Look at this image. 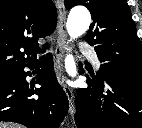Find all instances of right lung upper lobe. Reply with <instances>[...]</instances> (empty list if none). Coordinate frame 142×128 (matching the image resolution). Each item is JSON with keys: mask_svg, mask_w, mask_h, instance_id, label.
Segmentation results:
<instances>
[{"mask_svg": "<svg viewBox=\"0 0 142 128\" xmlns=\"http://www.w3.org/2000/svg\"><path fill=\"white\" fill-rule=\"evenodd\" d=\"M56 18L51 0H0V78L36 61L37 40L52 33Z\"/></svg>", "mask_w": 142, "mask_h": 128, "instance_id": "right-lung-upper-lobe-1", "label": "right lung upper lobe"}]
</instances>
